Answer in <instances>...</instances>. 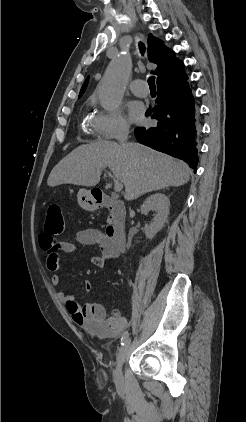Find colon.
Segmentation results:
<instances>
[{
	"mask_svg": "<svg viewBox=\"0 0 246 422\" xmlns=\"http://www.w3.org/2000/svg\"><path fill=\"white\" fill-rule=\"evenodd\" d=\"M45 230L52 235H59L64 231V217L60 204L54 202L48 206Z\"/></svg>",
	"mask_w": 246,
	"mask_h": 422,
	"instance_id": "colon-1",
	"label": "colon"
}]
</instances>
